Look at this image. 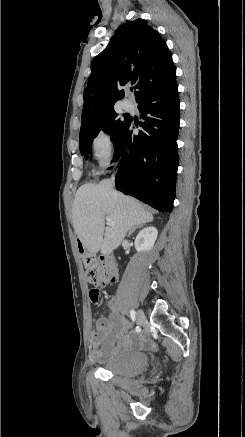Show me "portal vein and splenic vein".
I'll return each instance as SVG.
<instances>
[{"label": "portal vein and splenic vein", "instance_id": "18ae733b", "mask_svg": "<svg viewBox=\"0 0 245 437\" xmlns=\"http://www.w3.org/2000/svg\"><path fill=\"white\" fill-rule=\"evenodd\" d=\"M106 221H107L108 225L114 226V222L112 221V219L109 216L106 217Z\"/></svg>", "mask_w": 245, "mask_h": 437}]
</instances>
